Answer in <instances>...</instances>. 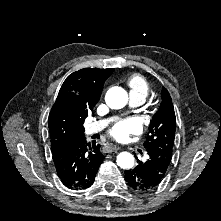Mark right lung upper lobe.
I'll list each match as a JSON object with an SVG mask.
<instances>
[{
    "label": "right lung upper lobe",
    "mask_w": 221,
    "mask_h": 221,
    "mask_svg": "<svg viewBox=\"0 0 221 221\" xmlns=\"http://www.w3.org/2000/svg\"><path fill=\"white\" fill-rule=\"evenodd\" d=\"M113 70L85 68L66 78L49 114L51 151L84 135L83 122L100 99L103 84Z\"/></svg>",
    "instance_id": "cb5924a9"
}]
</instances>
